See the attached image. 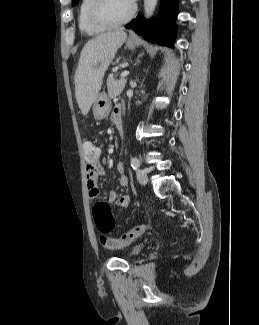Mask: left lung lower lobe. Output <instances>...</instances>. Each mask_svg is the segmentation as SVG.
I'll use <instances>...</instances> for the list:
<instances>
[{
  "mask_svg": "<svg viewBox=\"0 0 259 325\" xmlns=\"http://www.w3.org/2000/svg\"><path fill=\"white\" fill-rule=\"evenodd\" d=\"M178 10V0H162L160 18L158 21H148L138 16L131 21L126 28H132L144 39L160 44H170L174 42L177 27L175 20Z\"/></svg>",
  "mask_w": 259,
  "mask_h": 325,
  "instance_id": "1",
  "label": "left lung lower lobe"
}]
</instances>
